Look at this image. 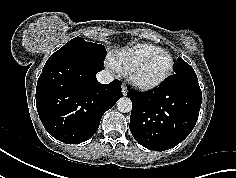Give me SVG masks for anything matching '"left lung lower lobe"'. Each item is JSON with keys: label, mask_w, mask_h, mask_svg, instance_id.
<instances>
[{"label": "left lung lower lobe", "mask_w": 236, "mask_h": 178, "mask_svg": "<svg viewBox=\"0 0 236 178\" xmlns=\"http://www.w3.org/2000/svg\"><path fill=\"white\" fill-rule=\"evenodd\" d=\"M130 130L142 146L164 151L182 142L194 128L202 93L196 74L170 76L148 92L130 90Z\"/></svg>", "instance_id": "left-lung-lower-lobe-1"}]
</instances>
